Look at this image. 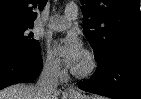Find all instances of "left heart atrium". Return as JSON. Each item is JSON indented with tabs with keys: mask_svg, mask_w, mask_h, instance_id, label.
<instances>
[{
	"mask_svg": "<svg viewBox=\"0 0 141 99\" xmlns=\"http://www.w3.org/2000/svg\"><path fill=\"white\" fill-rule=\"evenodd\" d=\"M59 46L63 51L65 63L69 67H77L84 57V49L81 41L75 35H68L60 40Z\"/></svg>",
	"mask_w": 141,
	"mask_h": 99,
	"instance_id": "left-heart-atrium-1",
	"label": "left heart atrium"
}]
</instances>
